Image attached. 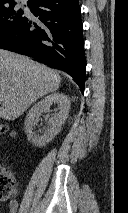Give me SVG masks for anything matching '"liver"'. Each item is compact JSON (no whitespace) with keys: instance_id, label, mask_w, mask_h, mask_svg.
<instances>
[{"instance_id":"obj_1","label":"liver","mask_w":128,"mask_h":213,"mask_svg":"<svg viewBox=\"0 0 128 213\" xmlns=\"http://www.w3.org/2000/svg\"><path fill=\"white\" fill-rule=\"evenodd\" d=\"M60 81L59 73L46 65L0 49V117L18 118L37 99L57 90Z\"/></svg>"}]
</instances>
